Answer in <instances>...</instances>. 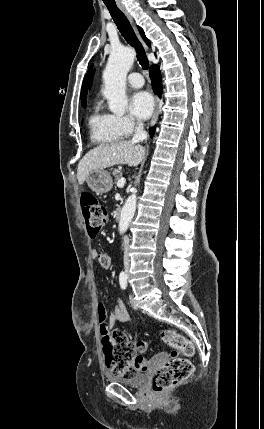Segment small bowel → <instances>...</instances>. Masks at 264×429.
<instances>
[{"label":"small bowel","mask_w":264,"mask_h":429,"mask_svg":"<svg viewBox=\"0 0 264 429\" xmlns=\"http://www.w3.org/2000/svg\"><path fill=\"white\" fill-rule=\"evenodd\" d=\"M91 256L93 258H97L99 261V264L102 268L108 269L111 266V257L108 254L105 253H99L96 249H93L91 251ZM99 305H103L102 303H99ZM104 306V305H103ZM128 313L127 310L122 303V301L117 300V302L113 305L112 310L108 316L107 320V331H104L100 327V333L102 335V344L106 337V334L109 333V329L112 328L117 322H125L128 320ZM135 349L137 351V354L135 355L134 359V366L139 371H147L150 368L164 362L166 359L170 357V355L166 353H160L155 356H153L150 359H147L143 356V354L146 352V350L149 347V344L146 342L137 341L134 343Z\"/></svg>","instance_id":"small-bowel-1"}]
</instances>
